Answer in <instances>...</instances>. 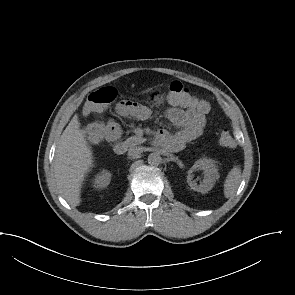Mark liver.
Wrapping results in <instances>:
<instances>
[{"mask_svg": "<svg viewBox=\"0 0 295 295\" xmlns=\"http://www.w3.org/2000/svg\"><path fill=\"white\" fill-rule=\"evenodd\" d=\"M92 166L93 153L75 115L61 135L54 158L57 188L70 205L80 204L82 182Z\"/></svg>", "mask_w": 295, "mask_h": 295, "instance_id": "obj_1", "label": "liver"}]
</instances>
